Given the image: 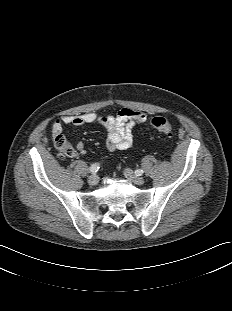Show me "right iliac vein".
I'll list each match as a JSON object with an SVG mask.
<instances>
[{"mask_svg":"<svg viewBox=\"0 0 232 311\" xmlns=\"http://www.w3.org/2000/svg\"><path fill=\"white\" fill-rule=\"evenodd\" d=\"M88 184L91 186H95L98 183V176L96 174H92L88 177Z\"/></svg>","mask_w":232,"mask_h":311,"instance_id":"right-iliac-vein-1","label":"right iliac vein"}]
</instances>
